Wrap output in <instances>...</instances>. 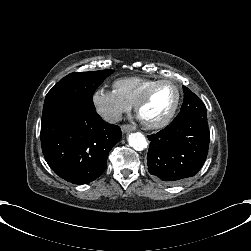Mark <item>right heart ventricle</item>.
Returning a JSON list of instances; mask_svg holds the SVG:
<instances>
[{"label":"right heart ventricle","mask_w":251,"mask_h":251,"mask_svg":"<svg viewBox=\"0 0 251 251\" xmlns=\"http://www.w3.org/2000/svg\"><path fill=\"white\" fill-rule=\"evenodd\" d=\"M155 80L157 79L150 76H127L115 79L112 86L123 101L133 106Z\"/></svg>","instance_id":"1"}]
</instances>
